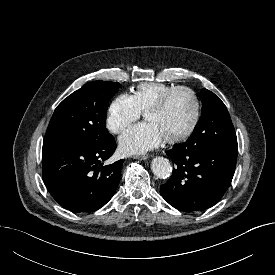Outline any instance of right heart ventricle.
<instances>
[{
  "mask_svg": "<svg viewBox=\"0 0 275 275\" xmlns=\"http://www.w3.org/2000/svg\"><path fill=\"white\" fill-rule=\"evenodd\" d=\"M172 87L173 86L165 83H141L132 90L131 97L137 109L141 113H144L151 104Z\"/></svg>",
  "mask_w": 275,
  "mask_h": 275,
  "instance_id": "1",
  "label": "right heart ventricle"
}]
</instances>
